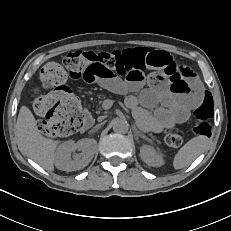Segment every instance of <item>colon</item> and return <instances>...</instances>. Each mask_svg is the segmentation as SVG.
Listing matches in <instances>:
<instances>
[{
  "label": "colon",
  "mask_w": 231,
  "mask_h": 231,
  "mask_svg": "<svg viewBox=\"0 0 231 231\" xmlns=\"http://www.w3.org/2000/svg\"><path fill=\"white\" fill-rule=\"evenodd\" d=\"M103 65L121 75H130L156 66L168 76L175 92L194 93L187 74L167 53L155 54L149 48H134L106 52L75 51L68 53L63 65L48 62L40 70V79L46 92L33 102L35 112L44 120L40 129L47 136L55 138L69 135L82 127L83 113L77 99L65 86L69 78H80L90 65ZM213 116L212 97L203 91L201 101L194 110V132L207 135ZM168 146L178 148L183 143L182 136L170 132L165 136Z\"/></svg>",
  "instance_id": "obj_1"
}]
</instances>
